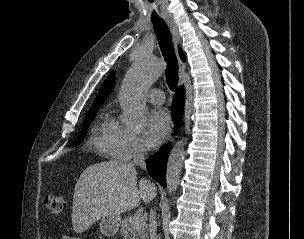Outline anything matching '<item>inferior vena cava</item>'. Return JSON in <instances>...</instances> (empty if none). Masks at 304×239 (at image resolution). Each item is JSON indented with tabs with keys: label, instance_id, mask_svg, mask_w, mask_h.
<instances>
[{
	"label": "inferior vena cava",
	"instance_id": "inferior-vena-cava-1",
	"mask_svg": "<svg viewBox=\"0 0 304 239\" xmlns=\"http://www.w3.org/2000/svg\"><path fill=\"white\" fill-rule=\"evenodd\" d=\"M140 166L145 167V158H144V150L141 149L138 153L134 156L133 163L131 166ZM149 228H150V238L151 239H159L156 230H157V221H156V211L155 209H151L150 212V219H149Z\"/></svg>",
	"mask_w": 304,
	"mask_h": 239
}]
</instances>
